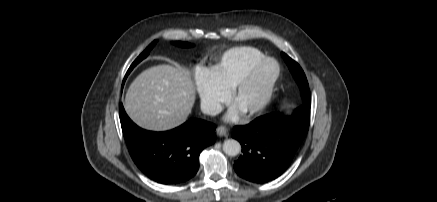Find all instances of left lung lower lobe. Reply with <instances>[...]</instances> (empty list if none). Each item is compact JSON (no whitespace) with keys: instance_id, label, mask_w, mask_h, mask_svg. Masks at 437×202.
I'll return each instance as SVG.
<instances>
[{"instance_id":"1","label":"left lung lower lobe","mask_w":437,"mask_h":202,"mask_svg":"<svg viewBox=\"0 0 437 202\" xmlns=\"http://www.w3.org/2000/svg\"><path fill=\"white\" fill-rule=\"evenodd\" d=\"M309 110L302 105L290 116L272 112L248 125L235 126L232 137L242 146V155L233 166L236 173L254 183H265L280 176L307 134Z\"/></svg>"}]
</instances>
